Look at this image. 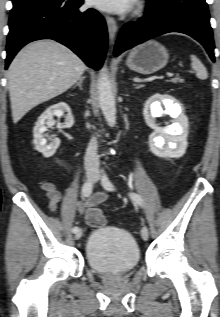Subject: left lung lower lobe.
Here are the masks:
<instances>
[{
  "label": "left lung lower lobe",
  "mask_w": 220,
  "mask_h": 317,
  "mask_svg": "<svg viewBox=\"0 0 220 317\" xmlns=\"http://www.w3.org/2000/svg\"><path fill=\"white\" fill-rule=\"evenodd\" d=\"M147 4L144 17L122 28L114 50L115 56L149 38L168 32H180L199 41L212 61H215L214 41L205 0H147Z\"/></svg>",
  "instance_id": "obj_1"
}]
</instances>
